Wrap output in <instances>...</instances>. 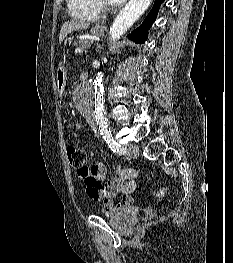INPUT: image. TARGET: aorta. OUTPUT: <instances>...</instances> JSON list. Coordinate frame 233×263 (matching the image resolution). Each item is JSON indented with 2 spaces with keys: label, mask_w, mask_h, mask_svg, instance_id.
<instances>
[{
  "label": "aorta",
  "mask_w": 233,
  "mask_h": 263,
  "mask_svg": "<svg viewBox=\"0 0 233 263\" xmlns=\"http://www.w3.org/2000/svg\"><path fill=\"white\" fill-rule=\"evenodd\" d=\"M152 0H130L120 11L110 28L111 40L116 41L148 9ZM103 73L81 84L77 90L76 106L79 112L90 122L95 123L100 131H107L104 109Z\"/></svg>",
  "instance_id": "762f6f07"
}]
</instances>
